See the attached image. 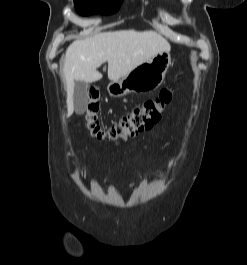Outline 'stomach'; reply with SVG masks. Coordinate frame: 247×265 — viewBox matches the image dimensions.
<instances>
[{"instance_id":"obj_1","label":"stomach","mask_w":247,"mask_h":265,"mask_svg":"<svg viewBox=\"0 0 247 265\" xmlns=\"http://www.w3.org/2000/svg\"><path fill=\"white\" fill-rule=\"evenodd\" d=\"M170 65V52H159L148 61L137 66L122 79L109 83L108 93L112 97H122L128 93L155 90L163 83Z\"/></svg>"}]
</instances>
